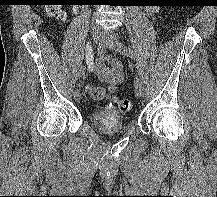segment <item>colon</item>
Instances as JSON below:
<instances>
[{
    "mask_svg": "<svg viewBox=\"0 0 217 197\" xmlns=\"http://www.w3.org/2000/svg\"><path fill=\"white\" fill-rule=\"evenodd\" d=\"M46 10L49 15L56 18L59 21H63L65 19V12L58 4H55L54 0H45ZM100 93L96 92L95 97H99ZM115 102L118 105V108L121 112H128L132 108V103L128 99H115Z\"/></svg>",
    "mask_w": 217,
    "mask_h": 197,
    "instance_id": "obj_1",
    "label": "colon"
}]
</instances>
